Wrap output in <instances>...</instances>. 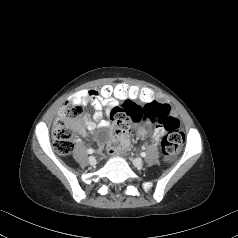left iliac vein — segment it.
I'll use <instances>...</instances> for the list:
<instances>
[{
    "instance_id": "4c4485c4",
    "label": "left iliac vein",
    "mask_w": 238,
    "mask_h": 238,
    "mask_svg": "<svg viewBox=\"0 0 238 238\" xmlns=\"http://www.w3.org/2000/svg\"><path fill=\"white\" fill-rule=\"evenodd\" d=\"M132 162L137 168L143 167V161L140 158H134Z\"/></svg>"
}]
</instances>
